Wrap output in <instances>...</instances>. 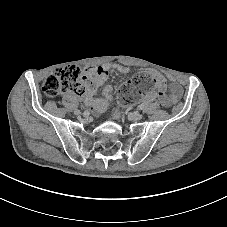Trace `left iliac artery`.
Returning <instances> with one entry per match:
<instances>
[{"mask_svg": "<svg viewBox=\"0 0 227 227\" xmlns=\"http://www.w3.org/2000/svg\"><path fill=\"white\" fill-rule=\"evenodd\" d=\"M143 108H144V105H143V104H140V105L138 106V109H139V110H143Z\"/></svg>", "mask_w": 227, "mask_h": 227, "instance_id": "1", "label": "left iliac artery"}]
</instances>
